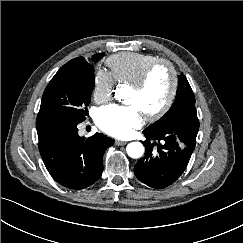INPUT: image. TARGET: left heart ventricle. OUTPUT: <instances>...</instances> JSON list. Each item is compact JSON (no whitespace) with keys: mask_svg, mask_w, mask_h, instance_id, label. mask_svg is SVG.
Segmentation results:
<instances>
[{"mask_svg":"<svg viewBox=\"0 0 243 243\" xmlns=\"http://www.w3.org/2000/svg\"><path fill=\"white\" fill-rule=\"evenodd\" d=\"M171 81V74L166 65L155 67L150 73L145 85L136 90L129 87L127 102L134 104L144 113L157 106L166 96Z\"/></svg>","mask_w":243,"mask_h":243,"instance_id":"left-heart-ventricle-1","label":"left heart ventricle"}]
</instances>
